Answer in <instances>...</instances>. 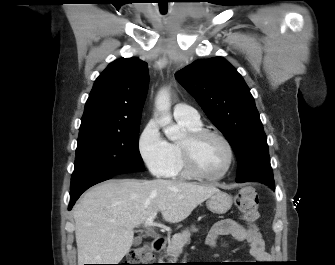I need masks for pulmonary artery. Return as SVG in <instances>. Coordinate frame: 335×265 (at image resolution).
<instances>
[{"label":"pulmonary artery","instance_id":"obj_1","mask_svg":"<svg viewBox=\"0 0 335 265\" xmlns=\"http://www.w3.org/2000/svg\"><path fill=\"white\" fill-rule=\"evenodd\" d=\"M174 117L176 120L186 121L189 123H200L198 111L183 103H179L174 107Z\"/></svg>","mask_w":335,"mask_h":265}]
</instances>
